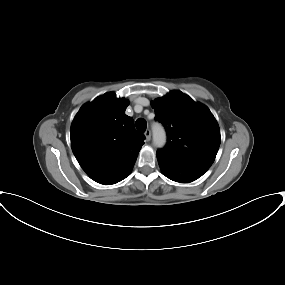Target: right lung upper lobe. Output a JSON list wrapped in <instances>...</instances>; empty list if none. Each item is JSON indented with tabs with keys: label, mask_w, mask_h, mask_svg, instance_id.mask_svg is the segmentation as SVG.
Instances as JSON below:
<instances>
[{
	"label": "right lung upper lobe",
	"mask_w": 285,
	"mask_h": 285,
	"mask_svg": "<svg viewBox=\"0 0 285 285\" xmlns=\"http://www.w3.org/2000/svg\"><path fill=\"white\" fill-rule=\"evenodd\" d=\"M129 101L112 92L84 104L71 125V147L83 170L96 182L116 183L130 171L145 136L125 114Z\"/></svg>",
	"instance_id": "right-lung-upper-lobe-1"
}]
</instances>
